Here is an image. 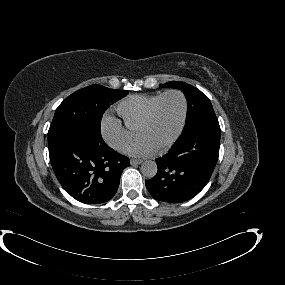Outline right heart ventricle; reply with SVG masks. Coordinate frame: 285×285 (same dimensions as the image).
Instances as JSON below:
<instances>
[{
	"instance_id": "obj_1",
	"label": "right heart ventricle",
	"mask_w": 285,
	"mask_h": 285,
	"mask_svg": "<svg viewBox=\"0 0 285 285\" xmlns=\"http://www.w3.org/2000/svg\"><path fill=\"white\" fill-rule=\"evenodd\" d=\"M162 94H137L122 100L117 107V112L125 126L132 130L137 129Z\"/></svg>"
}]
</instances>
